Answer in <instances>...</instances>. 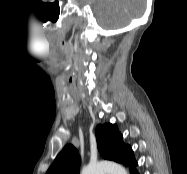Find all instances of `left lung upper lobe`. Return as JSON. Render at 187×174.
Masks as SVG:
<instances>
[{"mask_svg": "<svg viewBox=\"0 0 187 174\" xmlns=\"http://www.w3.org/2000/svg\"><path fill=\"white\" fill-rule=\"evenodd\" d=\"M98 150L102 157L129 165L130 171L137 162L129 145L122 141L116 125L105 124L96 127ZM80 157L75 147L68 144L57 155L46 174H79Z\"/></svg>", "mask_w": 187, "mask_h": 174, "instance_id": "5c2ea615", "label": "left lung upper lobe"}]
</instances>
